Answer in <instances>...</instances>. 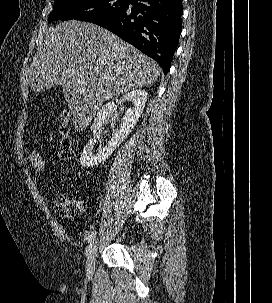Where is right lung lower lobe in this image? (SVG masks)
I'll return each instance as SVG.
<instances>
[{"label":"right lung lower lobe","instance_id":"1","mask_svg":"<svg viewBox=\"0 0 272 303\" xmlns=\"http://www.w3.org/2000/svg\"><path fill=\"white\" fill-rule=\"evenodd\" d=\"M133 7L92 22L156 60L166 75L182 31V0H131Z\"/></svg>","mask_w":272,"mask_h":303}]
</instances>
